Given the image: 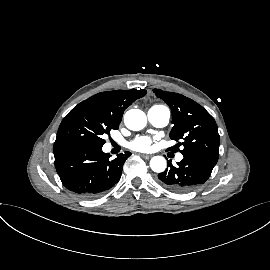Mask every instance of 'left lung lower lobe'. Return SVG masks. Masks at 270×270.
<instances>
[{"label": "left lung lower lobe", "instance_id": "1", "mask_svg": "<svg viewBox=\"0 0 270 270\" xmlns=\"http://www.w3.org/2000/svg\"><path fill=\"white\" fill-rule=\"evenodd\" d=\"M216 163L194 154H183L177 166L168 162V168L158 174L159 182L170 191L189 192L208 180Z\"/></svg>", "mask_w": 270, "mask_h": 270}]
</instances>
